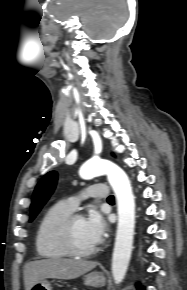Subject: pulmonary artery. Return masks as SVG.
<instances>
[{
    "label": "pulmonary artery",
    "mask_w": 187,
    "mask_h": 290,
    "mask_svg": "<svg viewBox=\"0 0 187 290\" xmlns=\"http://www.w3.org/2000/svg\"><path fill=\"white\" fill-rule=\"evenodd\" d=\"M83 195L90 196L93 198H99V199H107L108 189L104 185L101 184H93L87 187L82 193L80 194H74L68 199L65 200V203L72 209H76L78 204L80 203L81 197Z\"/></svg>",
    "instance_id": "pulmonary-artery-1"
}]
</instances>
